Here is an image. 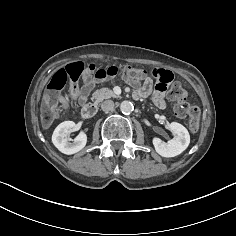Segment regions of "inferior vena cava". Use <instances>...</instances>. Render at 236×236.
Returning a JSON list of instances; mask_svg holds the SVG:
<instances>
[{
	"mask_svg": "<svg viewBox=\"0 0 236 236\" xmlns=\"http://www.w3.org/2000/svg\"><path fill=\"white\" fill-rule=\"evenodd\" d=\"M114 108V102L112 100H105L101 104V109L103 111H111Z\"/></svg>",
	"mask_w": 236,
	"mask_h": 236,
	"instance_id": "1",
	"label": "inferior vena cava"
}]
</instances>
